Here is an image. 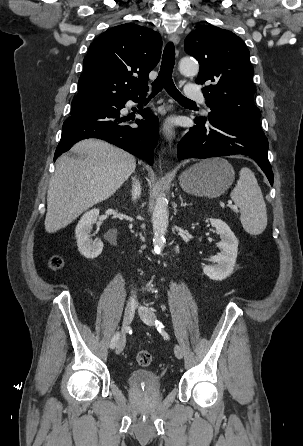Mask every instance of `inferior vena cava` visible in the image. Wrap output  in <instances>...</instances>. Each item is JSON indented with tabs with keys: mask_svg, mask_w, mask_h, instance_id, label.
<instances>
[{
	"mask_svg": "<svg viewBox=\"0 0 303 446\" xmlns=\"http://www.w3.org/2000/svg\"><path fill=\"white\" fill-rule=\"evenodd\" d=\"M141 194V187H140V183L138 181H135L133 184V189H132V198L133 200H136ZM136 299V296L133 294L132 297L130 298V300L132 302H134Z\"/></svg>",
	"mask_w": 303,
	"mask_h": 446,
	"instance_id": "inferior-vena-cava-1",
	"label": "inferior vena cava"
}]
</instances>
